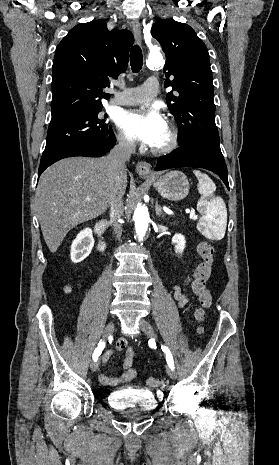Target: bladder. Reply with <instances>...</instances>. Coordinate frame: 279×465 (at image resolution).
I'll return each mask as SVG.
<instances>
[{"label":"bladder","instance_id":"obj_1","mask_svg":"<svg viewBox=\"0 0 279 465\" xmlns=\"http://www.w3.org/2000/svg\"><path fill=\"white\" fill-rule=\"evenodd\" d=\"M108 404L121 412H151L157 408V398L149 391L120 389L110 392Z\"/></svg>","mask_w":279,"mask_h":465}]
</instances>
